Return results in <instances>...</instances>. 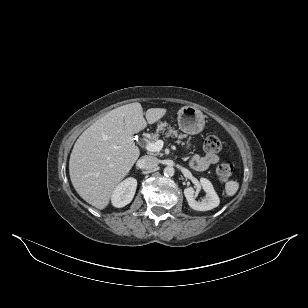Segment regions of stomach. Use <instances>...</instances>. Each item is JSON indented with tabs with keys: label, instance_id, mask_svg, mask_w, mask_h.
I'll use <instances>...</instances> for the list:
<instances>
[{
	"label": "stomach",
	"instance_id": "1",
	"mask_svg": "<svg viewBox=\"0 0 308 308\" xmlns=\"http://www.w3.org/2000/svg\"><path fill=\"white\" fill-rule=\"evenodd\" d=\"M177 120L179 129L191 135L201 132L205 125L203 113L193 106L182 107L178 111Z\"/></svg>",
	"mask_w": 308,
	"mask_h": 308
}]
</instances>
